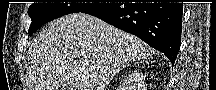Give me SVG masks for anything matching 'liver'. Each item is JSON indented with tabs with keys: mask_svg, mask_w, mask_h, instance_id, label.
<instances>
[{
	"mask_svg": "<svg viewBox=\"0 0 216 90\" xmlns=\"http://www.w3.org/2000/svg\"><path fill=\"white\" fill-rule=\"evenodd\" d=\"M151 52L136 36L94 16L68 14L30 44L28 90H106L115 74Z\"/></svg>",
	"mask_w": 216,
	"mask_h": 90,
	"instance_id": "liver-1",
	"label": "liver"
}]
</instances>
